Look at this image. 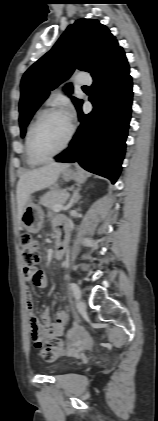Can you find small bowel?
<instances>
[{"mask_svg":"<svg viewBox=\"0 0 158 421\" xmlns=\"http://www.w3.org/2000/svg\"><path fill=\"white\" fill-rule=\"evenodd\" d=\"M53 224L57 235L67 233L68 223L64 218H54ZM23 272L28 283L39 289L46 288L47 278L43 271L37 268L28 269L24 267ZM26 301L30 311L29 325L35 347L40 348L45 340L63 334H66V337L71 341L73 346L81 344L84 340L83 329L78 323H74L72 328L65 333L64 327L67 322V315L64 311H57L54 316V321H52L47 310L43 311L41 316L34 312L32 294L30 291L27 292Z\"/></svg>","mask_w":158,"mask_h":421,"instance_id":"c3829d8e","label":"small bowel"}]
</instances>
